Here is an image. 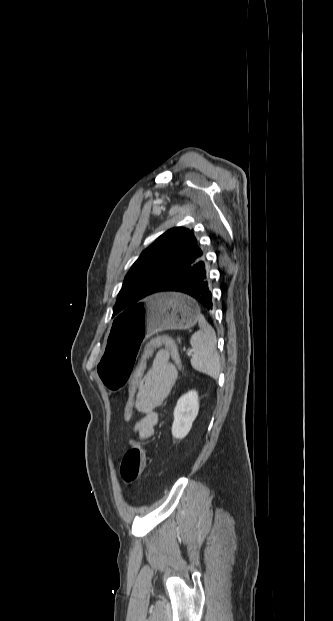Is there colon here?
I'll return each mask as SVG.
<instances>
[{"mask_svg":"<svg viewBox=\"0 0 333 621\" xmlns=\"http://www.w3.org/2000/svg\"><path fill=\"white\" fill-rule=\"evenodd\" d=\"M162 345L168 349L176 365L180 366L179 352L172 341L165 337H157L152 339L146 346L140 361L130 376L128 398L124 408V418L126 420H130L135 411V400L139 386L145 375L147 360L152 351ZM145 464L146 458L144 452L138 447L130 448L124 454L120 464V475L123 481L128 484L135 482L144 471Z\"/></svg>","mask_w":333,"mask_h":621,"instance_id":"1","label":"colon"}]
</instances>
